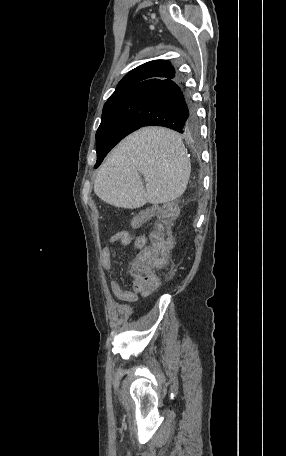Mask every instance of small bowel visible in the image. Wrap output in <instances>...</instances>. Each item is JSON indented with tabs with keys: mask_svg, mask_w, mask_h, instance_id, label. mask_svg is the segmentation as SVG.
<instances>
[{
	"mask_svg": "<svg viewBox=\"0 0 286 456\" xmlns=\"http://www.w3.org/2000/svg\"><path fill=\"white\" fill-rule=\"evenodd\" d=\"M120 236L113 240L114 243H121L123 245H129L131 242V236L128 232L122 231L118 232ZM146 244V237L145 236H138L134 239L133 245L136 249H141ZM100 258L104 268L108 271L111 276V289L116 296V298L121 301L122 303L134 305L138 302V295L141 294L144 297H148L150 295V291H138L135 289L133 284L132 290H126L122 287L119 283L117 278L114 275V270L112 267V250L109 246H105L100 253Z\"/></svg>",
	"mask_w": 286,
	"mask_h": 456,
	"instance_id": "c3829d8e",
	"label": "small bowel"
}]
</instances>
